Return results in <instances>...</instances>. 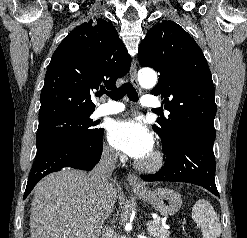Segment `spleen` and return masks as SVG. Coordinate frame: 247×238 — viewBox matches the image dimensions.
<instances>
[{"mask_svg": "<svg viewBox=\"0 0 247 238\" xmlns=\"http://www.w3.org/2000/svg\"><path fill=\"white\" fill-rule=\"evenodd\" d=\"M192 218L201 227L203 238H218L221 234L219 217L212 205L199 199L192 208Z\"/></svg>", "mask_w": 247, "mask_h": 238, "instance_id": "1", "label": "spleen"}]
</instances>
